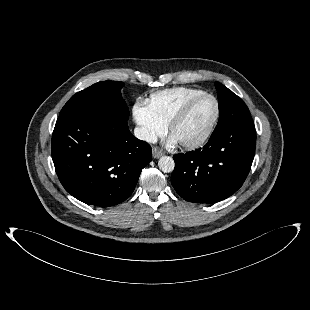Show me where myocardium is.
<instances>
[{
    "instance_id": "obj_1",
    "label": "myocardium",
    "mask_w": 310,
    "mask_h": 310,
    "mask_svg": "<svg viewBox=\"0 0 310 310\" xmlns=\"http://www.w3.org/2000/svg\"><path fill=\"white\" fill-rule=\"evenodd\" d=\"M203 98H210L214 101L215 113H214V116H213L209 126L207 127L205 132L200 137H198L194 140H191V141L178 142L181 147L188 149V150H194V149H197V148L203 146L209 140L211 135L213 134V132L216 128V125L218 123L219 117H220V104H219L217 98L215 96H213L212 94L205 93V92L202 94H199L197 96L192 97L191 99L186 101L180 107V109L176 112V114L172 117V119L168 123L169 124L168 125L169 133L173 135L175 127L185 119V117L189 113L192 106L197 101H199Z\"/></svg>"
}]
</instances>
